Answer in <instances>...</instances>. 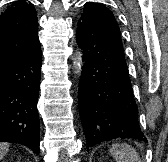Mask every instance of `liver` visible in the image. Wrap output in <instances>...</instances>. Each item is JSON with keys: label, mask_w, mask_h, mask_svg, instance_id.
<instances>
[{"label": "liver", "mask_w": 168, "mask_h": 162, "mask_svg": "<svg viewBox=\"0 0 168 162\" xmlns=\"http://www.w3.org/2000/svg\"><path fill=\"white\" fill-rule=\"evenodd\" d=\"M9 149V144L5 142H0V160L6 155Z\"/></svg>", "instance_id": "1"}]
</instances>
